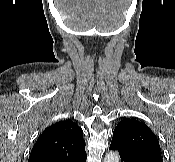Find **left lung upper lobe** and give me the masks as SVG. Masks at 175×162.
<instances>
[{
  "label": "left lung upper lobe",
  "instance_id": "left-lung-upper-lobe-1",
  "mask_svg": "<svg viewBox=\"0 0 175 162\" xmlns=\"http://www.w3.org/2000/svg\"><path fill=\"white\" fill-rule=\"evenodd\" d=\"M111 145L124 152L152 150L160 152V145L151 129L135 119L125 118L114 129Z\"/></svg>",
  "mask_w": 175,
  "mask_h": 162
}]
</instances>
